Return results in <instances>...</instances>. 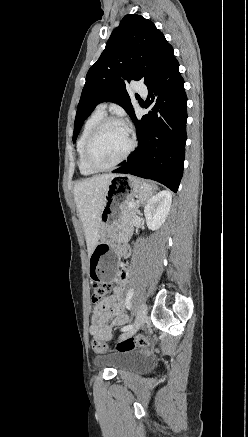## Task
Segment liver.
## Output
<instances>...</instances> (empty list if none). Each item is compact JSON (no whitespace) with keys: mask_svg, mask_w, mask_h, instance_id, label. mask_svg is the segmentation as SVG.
<instances>
[{"mask_svg":"<svg viewBox=\"0 0 248 437\" xmlns=\"http://www.w3.org/2000/svg\"><path fill=\"white\" fill-rule=\"evenodd\" d=\"M115 174H102L79 181L73 188L74 200L85 231L88 256L99 241L100 215L110 180Z\"/></svg>","mask_w":248,"mask_h":437,"instance_id":"liver-1","label":"liver"}]
</instances>
